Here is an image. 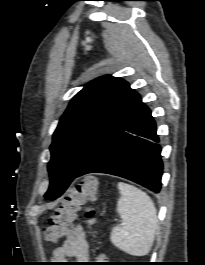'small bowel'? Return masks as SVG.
I'll use <instances>...</instances> for the list:
<instances>
[{"instance_id":"1","label":"small bowel","mask_w":205,"mask_h":265,"mask_svg":"<svg viewBox=\"0 0 205 265\" xmlns=\"http://www.w3.org/2000/svg\"><path fill=\"white\" fill-rule=\"evenodd\" d=\"M73 258L78 263H86L90 258V246L86 232L81 225H77L67 234L64 243L52 251V260L63 262Z\"/></svg>"}]
</instances>
